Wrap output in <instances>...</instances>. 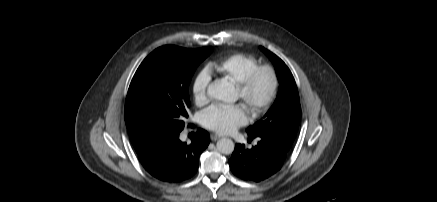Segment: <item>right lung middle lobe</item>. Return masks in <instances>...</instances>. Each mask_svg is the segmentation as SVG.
Segmentation results:
<instances>
[{"label": "right lung middle lobe", "instance_id": "right-lung-middle-lobe-1", "mask_svg": "<svg viewBox=\"0 0 437 202\" xmlns=\"http://www.w3.org/2000/svg\"><path fill=\"white\" fill-rule=\"evenodd\" d=\"M212 51V47L189 50L166 45L143 60L125 101V123L136 152L183 130L192 75Z\"/></svg>", "mask_w": 437, "mask_h": 202}]
</instances>
